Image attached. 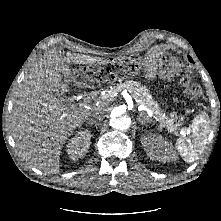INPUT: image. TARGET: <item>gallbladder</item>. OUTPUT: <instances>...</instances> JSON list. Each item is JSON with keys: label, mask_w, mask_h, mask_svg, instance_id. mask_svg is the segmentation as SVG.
Listing matches in <instances>:
<instances>
[{"label": "gallbladder", "mask_w": 221, "mask_h": 221, "mask_svg": "<svg viewBox=\"0 0 221 221\" xmlns=\"http://www.w3.org/2000/svg\"><path fill=\"white\" fill-rule=\"evenodd\" d=\"M57 98H59V99H63V101L66 102V103L69 102L68 99L65 98L64 96H59V95H58Z\"/></svg>", "instance_id": "obj_1"}]
</instances>
